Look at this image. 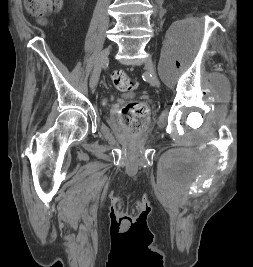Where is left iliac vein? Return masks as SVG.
<instances>
[{"label":"left iliac vein","instance_id":"obj_1","mask_svg":"<svg viewBox=\"0 0 253 267\" xmlns=\"http://www.w3.org/2000/svg\"><path fill=\"white\" fill-rule=\"evenodd\" d=\"M145 65H146L147 73L150 74V81H151V84H152V85H157V86H159L160 83H159L158 78H157L156 75H155L154 64L151 62L150 59H148V60L145 62Z\"/></svg>","mask_w":253,"mask_h":267}]
</instances>
